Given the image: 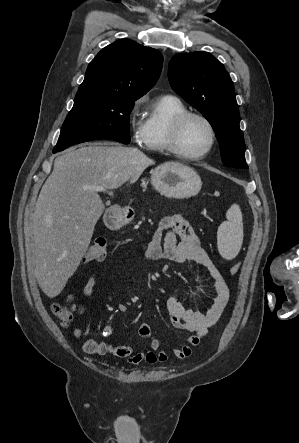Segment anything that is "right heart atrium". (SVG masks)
Segmentation results:
<instances>
[{"label":"right heart atrium","instance_id":"d8ad5b80","mask_svg":"<svg viewBox=\"0 0 299 443\" xmlns=\"http://www.w3.org/2000/svg\"><path fill=\"white\" fill-rule=\"evenodd\" d=\"M143 102H144L143 97L134 101L127 116L129 130L134 139H136L137 141H139L141 138L144 126V123L139 120L140 109Z\"/></svg>","mask_w":299,"mask_h":443}]
</instances>
